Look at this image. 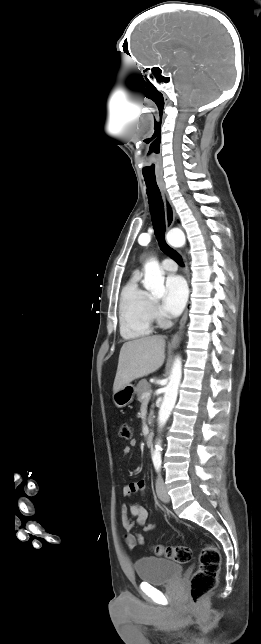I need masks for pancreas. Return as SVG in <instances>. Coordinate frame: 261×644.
<instances>
[{
	"instance_id": "obj_1",
	"label": "pancreas",
	"mask_w": 261,
	"mask_h": 644,
	"mask_svg": "<svg viewBox=\"0 0 261 644\" xmlns=\"http://www.w3.org/2000/svg\"><path fill=\"white\" fill-rule=\"evenodd\" d=\"M148 391H151V385L146 380H141L136 387V393H137L139 402L145 401V399L142 398V395ZM152 419H153V410H151L149 414V418H148L149 423L152 422Z\"/></svg>"
}]
</instances>
